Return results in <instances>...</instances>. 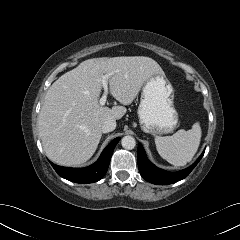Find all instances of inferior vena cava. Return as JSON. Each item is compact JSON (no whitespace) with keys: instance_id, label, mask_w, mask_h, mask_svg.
I'll list each match as a JSON object with an SVG mask.
<instances>
[{"instance_id":"inferior-vena-cava-1","label":"inferior vena cava","mask_w":240,"mask_h":240,"mask_svg":"<svg viewBox=\"0 0 240 240\" xmlns=\"http://www.w3.org/2000/svg\"><path fill=\"white\" fill-rule=\"evenodd\" d=\"M116 128V121L114 119H107L103 122L101 130L103 133H108Z\"/></svg>"}]
</instances>
